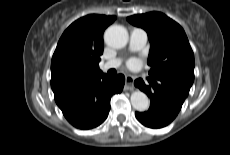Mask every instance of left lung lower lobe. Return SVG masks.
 <instances>
[{"mask_svg":"<svg viewBox=\"0 0 230 155\" xmlns=\"http://www.w3.org/2000/svg\"><path fill=\"white\" fill-rule=\"evenodd\" d=\"M151 81L152 87L146 85L142 79L134 82L136 87L151 98L149 110L136 112L135 116L146 127L162 128L176 118L189 92L174 84L153 79Z\"/></svg>","mask_w":230,"mask_h":155,"instance_id":"1","label":"left lung lower lobe"}]
</instances>
